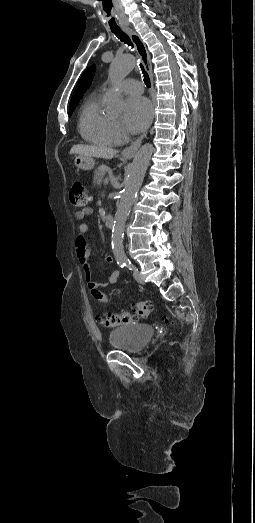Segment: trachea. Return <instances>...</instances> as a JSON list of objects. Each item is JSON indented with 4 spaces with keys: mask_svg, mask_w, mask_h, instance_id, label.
<instances>
[{
    "mask_svg": "<svg viewBox=\"0 0 255 523\" xmlns=\"http://www.w3.org/2000/svg\"><path fill=\"white\" fill-rule=\"evenodd\" d=\"M111 32H113L114 35H116V37L121 42H124L127 45H130L131 47H133V43H132L131 39L129 38L127 33H124L123 30H121V28H111ZM140 67L142 69V73L144 74V83L148 88H150L151 87L150 78H149L148 74L145 72L144 67L142 66L141 63H140Z\"/></svg>",
    "mask_w": 255,
    "mask_h": 523,
    "instance_id": "obj_1",
    "label": "trachea"
}]
</instances>
